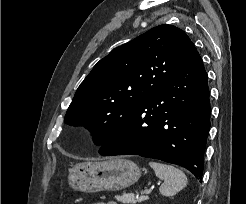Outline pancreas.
<instances>
[{"mask_svg": "<svg viewBox=\"0 0 246 204\" xmlns=\"http://www.w3.org/2000/svg\"><path fill=\"white\" fill-rule=\"evenodd\" d=\"M115 199L119 202H122L124 204H136V202H142L148 199L147 196H141L139 198H136L133 194H126L123 193L122 195H116Z\"/></svg>", "mask_w": 246, "mask_h": 204, "instance_id": "1", "label": "pancreas"}]
</instances>
